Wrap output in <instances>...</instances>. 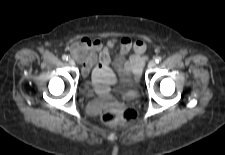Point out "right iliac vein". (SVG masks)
<instances>
[{
    "label": "right iliac vein",
    "mask_w": 225,
    "mask_h": 155,
    "mask_svg": "<svg viewBox=\"0 0 225 155\" xmlns=\"http://www.w3.org/2000/svg\"><path fill=\"white\" fill-rule=\"evenodd\" d=\"M69 65L74 66L75 65V61L73 59H69L68 60Z\"/></svg>",
    "instance_id": "1"
}]
</instances>
